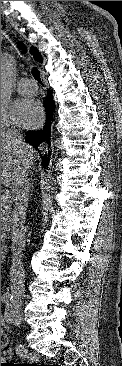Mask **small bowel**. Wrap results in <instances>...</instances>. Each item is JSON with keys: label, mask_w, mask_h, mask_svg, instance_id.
<instances>
[{"label": "small bowel", "mask_w": 122, "mask_h": 366, "mask_svg": "<svg viewBox=\"0 0 122 366\" xmlns=\"http://www.w3.org/2000/svg\"><path fill=\"white\" fill-rule=\"evenodd\" d=\"M4 325V322L1 320V326H3Z\"/></svg>", "instance_id": "small-bowel-1"}]
</instances>
